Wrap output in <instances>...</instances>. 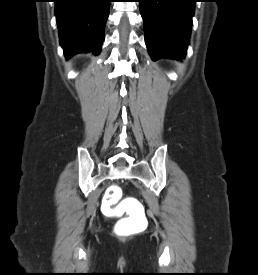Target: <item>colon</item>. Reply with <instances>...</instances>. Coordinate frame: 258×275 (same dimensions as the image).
Returning <instances> with one entry per match:
<instances>
[{"instance_id": "1", "label": "colon", "mask_w": 258, "mask_h": 275, "mask_svg": "<svg viewBox=\"0 0 258 275\" xmlns=\"http://www.w3.org/2000/svg\"><path fill=\"white\" fill-rule=\"evenodd\" d=\"M121 197V189L116 186H112L107 191V200L117 201Z\"/></svg>"}]
</instances>
